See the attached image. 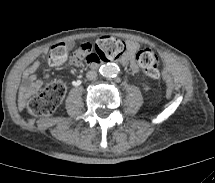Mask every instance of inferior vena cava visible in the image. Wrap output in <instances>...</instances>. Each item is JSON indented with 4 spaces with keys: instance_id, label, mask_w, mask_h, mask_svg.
I'll list each match as a JSON object with an SVG mask.
<instances>
[{
    "instance_id": "obj_1",
    "label": "inferior vena cava",
    "mask_w": 215,
    "mask_h": 183,
    "mask_svg": "<svg viewBox=\"0 0 215 183\" xmlns=\"http://www.w3.org/2000/svg\"><path fill=\"white\" fill-rule=\"evenodd\" d=\"M86 77L88 80H94L97 77V72L94 70L88 71Z\"/></svg>"
}]
</instances>
